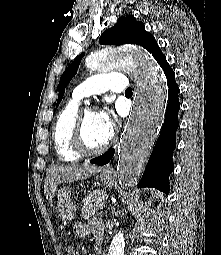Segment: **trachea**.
<instances>
[{
  "label": "trachea",
  "instance_id": "3493384b",
  "mask_svg": "<svg viewBox=\"0 0 221 255\" xmlns=\"http://www.w3.org/2000/svg\"><path fill=\"white\" fill-rule=\"evenodd\" d=\"M125 94H132L131 88H127L126 91H125Z\"/></svg>",
  "mask_w": 221,
  "mask_h": 255
}]
</instances>
